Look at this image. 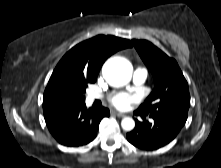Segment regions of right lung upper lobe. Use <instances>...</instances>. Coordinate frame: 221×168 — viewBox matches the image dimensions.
<instances>
[{"label": "right lung upper lobe", "instance_id": "right-lung-upper-lobe-1", "mask_svg": "<svg viewBox=\"0 0 221 168\" xmlns=\"http://www.w3.org/2000/svg\"><path fill=\"white\" fill-rule=\"evenodd\" d=\"M131 47L127 39L98 35L70 49L54 69L44 91L43 105L64 102L56 93L58 81L64 75H83L97 79L105 60L118 50Z\"/></svg>", "mask_w": 221, "mask_h": 168}]
</instances>
